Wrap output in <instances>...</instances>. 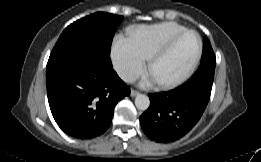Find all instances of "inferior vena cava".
<instances>
[{"label": "inferior vena cava", "instance_id": "1", "mask_svg": "<svg viewBox=\"0 0 261 162\" xmlns=\"http://www.w3.org/2000/svg\"><path fill=\"white\" fill-rule=\"evenodd\" d=\"M118 74L120 78L125 82H134L137 79V76L133 72L128 70H120Z\"/></svg>", "mask_w": 261, "mask_h": 162}]
</instances>
